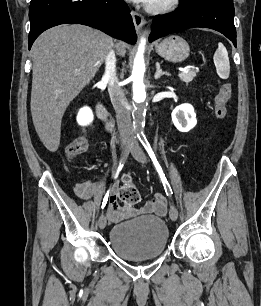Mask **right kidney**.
I'll list each match as a JSON object with an SVG mask.
<instances>
[{
  "label": "right kidney",
  "mask_w": 261,
  "mask_h": 306,
  "mask_svg": "<svg viewBox=\"0 0 261 306\" xmlns=\"http://www.w3.org/2000/svg\"><path fill=\"white\" fill-rule=\"evenodd\" d=\"M94 119L92 110L89 107H83L77 115V122L81 126L89 125Z\"/></svg>",
  "instance_id": "right-kidney-1"
}]
</instances>
